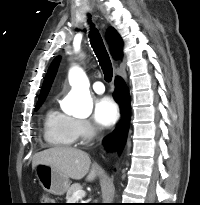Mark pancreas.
<instances>
[{"label": "pancreas", "instance_id": "1", "mask_svg": "<svg viewBox=\"0 0 200 205\" xmlns=\"http://www.w3.org/2000/svg\"><path fill=\"white\" fill-rule=\"evenodd\" d=\"M82 186L79 183H75L73 184L68 190H67V194H66V200L67 203H71L72 202V196L76 191L82 190Z\"/></svg>", "mask_w": 200, "mask_h": 205}]
</instances>
